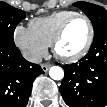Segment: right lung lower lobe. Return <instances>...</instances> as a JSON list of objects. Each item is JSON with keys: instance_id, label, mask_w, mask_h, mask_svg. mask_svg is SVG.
Wrapping results in <instances>:
<instances>
[{"instance_id": "right-lung-lower-lobe-1", "label": "right lung lower lobe", "mask_w": 107, "mask_h": 107, "mask_svg": "<svg viewBox=\"0 0 107 107\" xmlns=\"http://www.w3.org/2000/svg\"><path fill=\"white\" fill-rule=\"evenodd\" d=\"M42 68L26 61L15 46L0 44V107H26Z\"/></svg>"}]
</instances>
